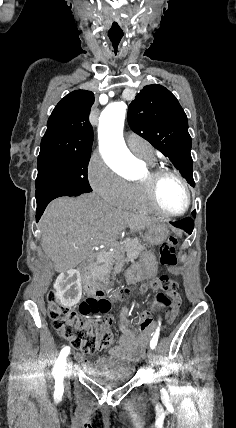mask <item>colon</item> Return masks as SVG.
<instances>
[{
	"mask_svg": "<svg viewBox=\"0 0 236 428\" xmlns=\"http://www.w3.org/2000/svg\"><path fill=\"white\" fill-rule=\"evenodd\" d=\"M177 239L169 237L160 248V262L167 267L177 264L175 253ZM151 287L159 290L156 295V305L163 308L169 319L178 312L179 298L176 290L177 282L167 275H161L150 283ZM126 292V291H125ZM49 316L57 333L67 340L74 348L85 353H94L97 350L108 348L112 344V336L106 324H96L86 317L90 315L106 313L110 307L108 300L99 298L91 293L82 300L78 310L63 306L55 292L48 297ZM151 322L149 314L141 317L140 326H146Z\"/></svg>",
	"mask_w": 236,
	"mask_h": 428,
	"instance_id": "obj_1",
	"label": "colon"
}]
</instances>
